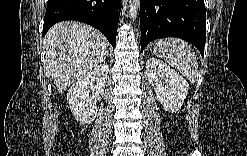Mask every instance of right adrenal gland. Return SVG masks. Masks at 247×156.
<instances>
[{"mask_svg": "<svg viewBox=\"0 0 247 156\" xmlns=\"http://www.w3.org/2000/svg\"><path fill=\"white\" fill-rule=\"evenodd\" d=\"M107 55H108V53H107ZM105 59H106V56H105V57L103 58V60H102L103 63H105Z\"/></svg>", "mask_w": 247, "mask_h": 156, "instance_id": "1", "label": "right adrenal gland"}]
</instances>
